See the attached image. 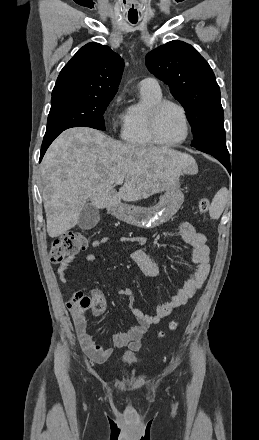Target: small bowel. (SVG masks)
Wrapping results in <instances>:
<instances>
[{"label":"small bowel","instance_id":"1","mask_svg":"<svg viewBox=\"0 0 259 440\" xmlns=\"http://www.w3.org/2000/svg\"><path fill=\"white\" fill-rule=\"evenodd\" d=\"M179 230L182 243L189 248V260L195 265L196 269L188 272L186 280L178 288L175 295H173L168 301L157 305L154 315H148L135 307L133 291L130 288L120 289L118 294L127 297L128 308L135 316L137 323L126 331L112 334L111 341L114 346L118 348L127 346L133 350L139 349L142 336L146 333L149 327L159 323L176 308L187 304L206 280L210 271L211 255L205 235L197 232L194 226L188 221L182 222ZM142 240L143 238L140 237H121L119 241L140 243ZM108 242L109 238L105 236L99 239H94L91 242V246L97 248ZM132 258L147 276L157 277L159 275V262L153 260L145 251L141 249L134 251ZM74 259V256L68 257L60 263L58 267V275L61 281L66 280L68 270ZM85 259L87 261H93L95 256L90 254L87 255ZM93 297L95 298L93 313L95 316H100L106 310L104 297L99 291H94ZM75 329L79 343L90 359L96 362H104L111 356L113 351L112 348L103 347L92 339L83 317L76 321Z\"/></svg>","mask_w":259,"mask_h":440}]
</instances>
